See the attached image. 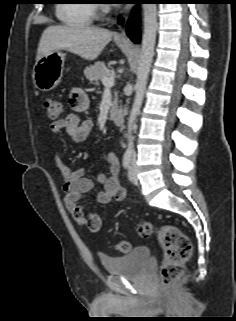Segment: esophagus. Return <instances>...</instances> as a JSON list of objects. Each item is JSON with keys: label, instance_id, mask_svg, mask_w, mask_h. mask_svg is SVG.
Listing matches in <instances>:
<instances>
[{"label": "esophagus", "instance_id": "1", "mask_svg": "<svg viewBox=\"0 0 236 321\" xmlns=\"http://www.w3.org/2000/svg\"><path fill=\"white\" fill-rule=\"evenodd\" d=\"M132 8H133V6L130 5V4H128V5L126 6L125 10H124V13H125V16H124V18H125V23H126L129 15H130V13H131ZM116 37L119 38V39H125V38H126L125 28H122L121 32L118 33Z\"/></svg>", "mask_w": 236, "mask_h": 321}]
</instances>
